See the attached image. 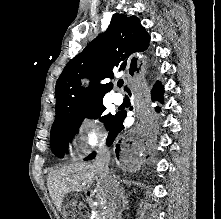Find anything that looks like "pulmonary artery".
<instances>
[{
  "mask_svg": "<svg viewBox=\"0 0 221 219\" xmlns=\"http://www.w3.org/2000/svg\"><path fill=\"white\" fill-rule=\"evenodd\" d=\"M111 100L113 103L120 105L123 102V95L115 92L111 95Z\"/></svg>",
  "mask_w": 221,
  "mask_h": 219,
  "instance_id": "e3ab8cb5",
  "label": "pulmonary artery"
}]
</instances>
